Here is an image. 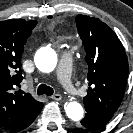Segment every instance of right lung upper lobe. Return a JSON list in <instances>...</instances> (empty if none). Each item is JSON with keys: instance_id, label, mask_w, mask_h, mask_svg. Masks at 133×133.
<instances>
[{"instance_id": "1", "label": "right lung upper lobe", "mask_w": 133, "mask_h": 133, "mask_svg": "<svg viewBox=\"0 0 133 133\" xmlns=\"http://www.w3.org/2000/svg\"><path fill=\"white\" fill-rule=\"evenodd\" d=\"M37 21L11 19L0 22V127L11 129L42 103L16 90L22 81L21 55Z\"/></svg>"}]
</instances>
